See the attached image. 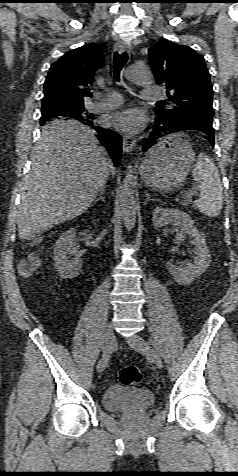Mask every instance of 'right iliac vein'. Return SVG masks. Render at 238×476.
Here are the masks:
<instances>
[{
  "mask_svg": "<svg viewBox=\"0 0 238 476\" xmlns=\"http://www.w3.org/2000/svg\"><path fill=\"white\" fill-rule=\"evenodd\" d=\"M111 343L113 344L112 346L110 345ZM114 346H115V336L113 331V325L110 323L107 325L105 333H104L103 355L97 364L98 372L104 371L109 360V355L112 352Z\"/></svg>",
  "mask_w": 238,
  "mask_h": 476,
  "instance_id": "obj_1",
  "label": "right iliac vein"
}]
</instances>
